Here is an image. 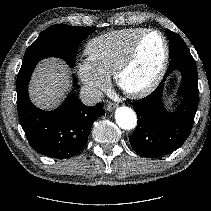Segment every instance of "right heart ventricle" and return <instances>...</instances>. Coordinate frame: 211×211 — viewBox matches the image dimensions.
Returning a JSON list of instances; mask_svg holds the SVG:
<instances>
[{"label":"right heart ventricle","mask_w":211,"mask_h":211,"mask_svg":"<svg viewBox=\"0 0 211 211\" xmlns=\"http://www.w3.org/2000/svg\"><path fill=\"white\" fill-rule=\"evenodd\" d=\"M144 28H128L112 31L91 39L85 48L90 63L107 78L123 60L136 37Z\"/></svg>","instance_id":"obj_1"}]
</instances>
